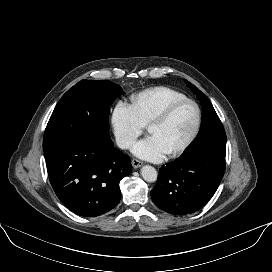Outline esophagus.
Here are the masks:
<instances>
[{
	"instance_id": "34e87169",
	"label": "esophagus",
	"mask_w": 272,
	"mask_h": 272,
	"mask_svg": "<svg viewBox=\"0 0 272 272\" xmlns=\"http://www.w3.org/2000/svg\"><path fill=\"white\" fill-rule=\"evenodd\" d=\"M132 166L134 167V168H139V167H141L142 166V162L141 161H139V160H137V159H132Z\"/></svg>"
}]
</instances>
